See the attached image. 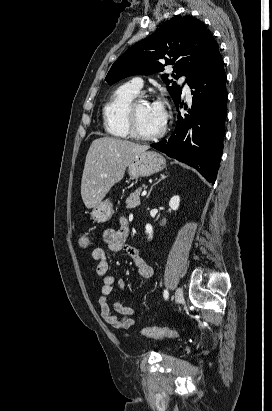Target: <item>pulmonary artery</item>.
Listing matches in <instances>:
<instances>
[{
    "label": "pulmonary artery",
    "mask_w": 272,
    "mask_h": 411,
    "mask_svg": "<svg viewBox=\"0 0 272 411\" xmlns=\"http://www.w3.org/2000/svg\"><path fill=\"white\" fill-rule=\"evenodd\" d=\"M130 84L136 91H140L143 88V81L138 77L134 78ZM184 91H185V94L189 97L190 88L188 85H185Z\"/></svg>",
    "instance_id": "pulmonary-artery-1"
}]
</instances>
